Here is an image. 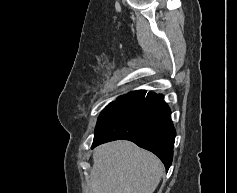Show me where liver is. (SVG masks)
I'll return each mask as SVG.
<instances>
[{
    "mask_svg": "<svg viewBox=\"0 0 237 193\" xmlns=\"http://www.w3.org/2000/svg\"><path fill=\"white\" fill-rule=\"evenodd\" d=\"M163 172L154 154L130 141L103 144L93 154L91 193H153Z\"/></svg>",
    "mask_w": 237,
    "mask_h": 193,
    "instance_id": "obj_1",
    "label": "liver"
}]
</instances>
